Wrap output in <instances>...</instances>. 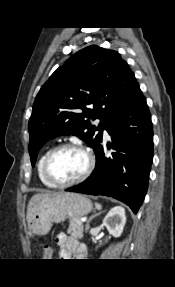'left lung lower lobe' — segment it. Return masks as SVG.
I'll return each mask as SVG.
<instances>
[{"instance_id": "1", "label": "left lung lower lobe", "mask_w": 175, "mask_h": 287, "mask_svg": "<svg viewBox=\"0 0 175 287\" xmlns=\"http://www.w3.org/2000/svg\"><path fill=\"white\" fill-rule=\"evenodd\" d=\"M106 130L112 138L107 148L114 151L107 153L101 140L92 174L66 190L113 197L136 214L147 192L153 161L151 115L139 85L129 103L111 118Z\"/></svg>"}]
</instances>
